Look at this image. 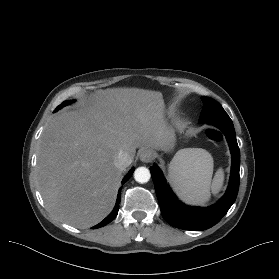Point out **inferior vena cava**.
<instances>
[{
	"instance_id": "inferior-vena-cava-1",
	"label": "inferior vena cava",
	"mask_w": 279,
	"mask_h": 279,
	"mask_svg": "<svg viewBox=\"0 0 279 279\" xmlns=\"http://www.w3.org/2000/svg\"><path fill=\"white\" fill-rule=\"evenodd\" d=\"M131 163L132 157L126 152H120L114 161V165L120 170H124Z\"/></svg>"
}]
</instances>
